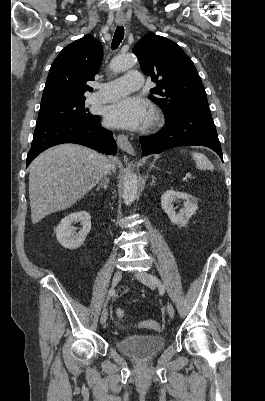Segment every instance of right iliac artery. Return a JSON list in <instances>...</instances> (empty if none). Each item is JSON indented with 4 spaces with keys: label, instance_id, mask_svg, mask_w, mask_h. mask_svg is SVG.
<instances>
[{
    "label": "right iliac artery",
    "instance_id": "82829eb1",
    "mask_svg": "<svg viewBox=\"0 0 265 401\" xmlns=\"http://www.w3.org/2000/svg\"><path fill=\"white\" fill-rule=\"evenodd\" d=\"M114 292H115V291H114L113 288L109 290L108 296H107V299H106V302L104 303V307L107 305V303H108L110 297L113 296Z\"/></svg>",
    "mask_w": 265,
    "mask_h": 401
}]
</instances>
